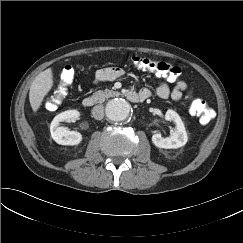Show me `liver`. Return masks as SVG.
<instances>
[{
	"mask_svg": "<svg viewBox=\"0 0 243 243\" xmlns=\"http://www.w3.org/2000/svg\"><path fill=\"white\" fill-rule=\"evenodd\" d=\"M53 87V73L52 69L48 68L38 74L30 86L29 101L31 108L37 112L40 108L44 97Z\"/></svg>",
	"mask_w": 243,
	"mask_h": 243,
	"instance_id": "obj_1",
	"label": "liver"
}]
</instances>
